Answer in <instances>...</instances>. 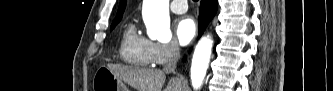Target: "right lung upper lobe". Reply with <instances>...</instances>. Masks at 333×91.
Instances as JSON below:
<instances>
[{
    "instance_id": "cb5924a9",
    "label": "right lung upper lobe",
    "mask_w": 333,
    "mask_h": 91,
    "mask_svg": "<svg viewBox=\"0 0 333 91\" xmlns=\"http://www.w3.org/2000/svg\"><path fill=\"white\" fill-rule=\"evenodd\" d=\"M125 5H126V0H121L120 5H119V9H118V12H117V15H116L115 19L122 18V14L124 12Z\"/></svg>"
}]
</instances>
